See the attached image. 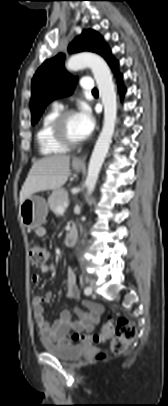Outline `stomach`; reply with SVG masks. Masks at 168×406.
<instances>
[{
	"label": "stomach",
	"mask_w": 168,
	"mask_h": 406,
	"mask_svg": "<svg viewBox=\"0 0 168 406\" xmlns=\"http://www.w3.org/2000/svg\"><path fill=\"white\" fill-rule=\"evenodd\" d=\"M74 170L81 171L83 165L72 163ZM48 214V205L42 197L31 196L24 200L19 207V216L22 224L28 229L40 227Z\"/></svg>",
	"instance_id": "stomach-1"
}]
</instances>
